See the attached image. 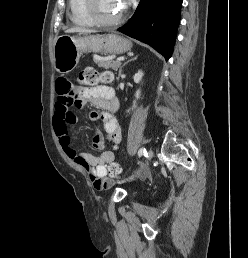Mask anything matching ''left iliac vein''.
I'll use <instances>...</instances> for the list:
<instances>
[{"label":"left iliac vein","mask_w":248,"mask_h":258,"mask_svg":"<svg viewBox=\"0 0 248 258\" xmlns=\"http://www.w3.org/2000/svg\"><path fill=\"white\" fill-rule=\"evenodd\" d=\"M153 150H149L148 152H147V155H146V159H145V162H148V161H150L151 159H152V157H153Z\"/></svg>","instance_id":"obj_1"}]
</instances>
